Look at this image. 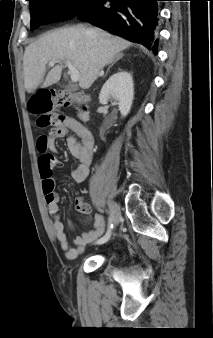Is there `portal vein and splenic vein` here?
Listing matches in <instances>:
<instances>
[{
  "instance_id": "portal-vein-and-splenic-vein-1",
  "label": "portal vein and splenic vein",
  "mask_w": 213,
  "mask_h": 338,
  "mask_svg": "<svg viewBox=\"0 0 213 338\" xmlns=\"http://www.w3.org/2000/svg\"><path fill=\"white\" fill-rule=\"evenodd\" d=\"M56 61H50L49 65L54 66ZM66 65L69 69V74L72 82H77L79 80V71L71 64L70 61H66Z\"/></svg>"
}]
</instances>
